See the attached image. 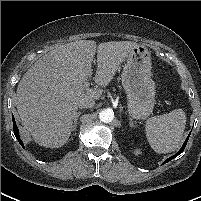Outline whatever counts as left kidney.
I'll return each instance as SVG.
<instances>
[{"label":"left kidney","instance_id":"left-kidney-1","mask_svg":"<svg viewBox=\"0 0 201 201\" xmlns=\"http://www.w3.org/2000/svg\"><path fill=\"white\" fill-rule=\"evenodd\" d=\"M133 153L135 155H140L141 154V150L140 149H134Z\"/></svg>","mask_w":201,"mask_h":201}]
</instances>
